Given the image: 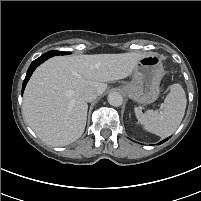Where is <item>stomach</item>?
Listing matches in <instances>:
<instances>
[{"label":"stomach","instance_id":"stomach-1","mask_svg":"<svg viewBox=\"0 0 201 201\" xmlns=\"http://www.w3.org/2000/svg\"><path fill=\"white\" fill-rule=\"evenodd\" d=\"M164 69L155 53L145 54L133 70L132 80L123 85L125 94L139 104L153 103L160 93V81Z\"/></svg>","mask_w":201,"mask_h":201}]
</instances>
